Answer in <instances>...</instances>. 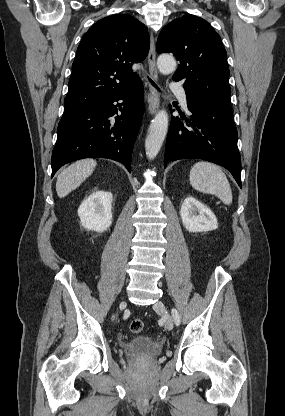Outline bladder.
Listing matches in <instances>:
<instances>
[{
  "instance_id": "bladder-1",
  "label": "bladder",
  "mask_w": 285,
  "mask_h": 416,
  "mask_svg": "<svg viewBox=\"0 0 285 416\" xmlns=\"http://www.w3.org/2000/svg\"><path fill=\"white\" fill-rule=\"evenodd\" d=\"M163 350V342L147 335H135L123 344V352L128 357L147 355L157 357Z\"/></svg>"
}]
</instances>
